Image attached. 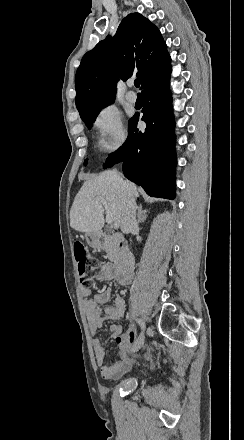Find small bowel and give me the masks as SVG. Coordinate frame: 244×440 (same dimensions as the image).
I'll return each instance as SVG.
<instances>
[{
  "instance_id": "small-bowel-1",
  "label": "small bowel",
  "mask_w": 244,
  "mask_h": 440,
  "mask_svg": "<svg viewBox=\"0 0 244 440\" xmlns=\"http://www.w3.org/2000/svg\"><path fill=\"white\" fill-rule=\"evenodd\" d=\"M132 273L121 271L117 265L105 264L93 279L100 282L113 280L119 285L129 286L133 279ZM80 294L83 298L82 307L88 321L89 331L93 335L92 346L100 374L104 379H117L129 372L134 364V358L129 352L132 347L129 343L134 341V332L124 331L120 323L111 324L110 331L116 345V360L110 364L106 363L105 346L95 336V333L105 320L118 321L124 316L125 300L121 295H116L112 303L108 304L112 294L111 289L91 295L89 288L84 285L80 287ZM102 306L105 307L102 308ZM103 313L105 316L102 315Z\"/></svg>"
}]
</instances>
